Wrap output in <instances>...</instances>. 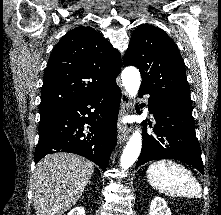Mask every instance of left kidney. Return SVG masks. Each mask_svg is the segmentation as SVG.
Segmentation results:
<instances>
[{
    "mask_svg": "<svg viewBox=\"0 0 221 215\" xmlns=\"http://www.w3.org/2000/svg\"><path fill=\"white\" fill-rule=\"evenodd\" d=\"M149 215H172V214L165 200L157 196L151 202Z\"/></svg>",
    "mask_w": 221,
    "mask_h": 215,
    "instance_id": "5707ae66",
    "label": "left kidney"
}]
</instances>
